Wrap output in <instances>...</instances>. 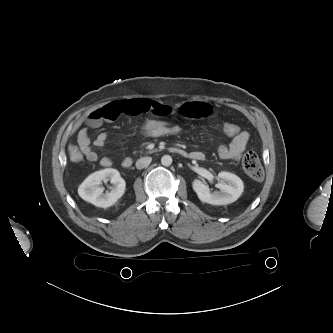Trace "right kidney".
Returning a JSON list of instances; mask_svg holds the SVG:
<instances>
[{
	"instance_id": "obj_1",
	"label": "right kidney",
	"mask_w": 333,
	"mask_h": 333,
	"mask_svg": "<svg viewBox=\"0 0 333 333\" xmlns=\"http://www.w3.org/2000/svg\"><path fill=\"white\" fill-rule=\"evenodd\" d=\"M106 179H109L114 187L110 192L103 193V188L99 187V184ZM125 188L126 183L120 173L116 169L107 168L89 175L79 186L78 194L97 207L108 208L123 196Z\"/></svg>"
}]
</instances>
